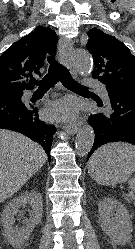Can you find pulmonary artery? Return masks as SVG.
<instances>
[{
    "label": "pulmonary artery",
    "mask_w": 135,
    "mask_h": 249,
    "mask_svg": "<svg viewBox=\"0 0 135 249\" xmlns=\"http://www.w3.org/2000/svg\"><path fill=\"white\" fill-rule=\"evenodd\" d=\"M86 85L90 86V87L97 88L100 91V94L102 95V97L106 101L109 100L107 91L105 90V88L103 87V85H101L99 82H97V81H95V80H93L91 78H88L87 81H86Z\"/></svg>",
    "instance_id": "pulmonary-artery-1"
}]
</instances>
